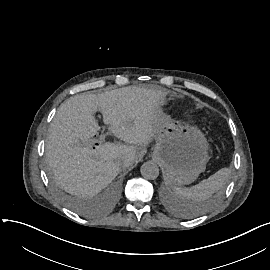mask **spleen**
Listing matches in <instances>:
<instances>
[{
	"mask_svg": "<svg viewBox=\"0 0 270 270\" xmlns=\"http://www.w3.org/2000/svg\"><path fill=\"white\" fill-rule=\"evenodd\" d=\"M230 174L229 168H222L208 179L202 180L189 189L176 187L169 182H166V185L173 190L174 197L182 204L184 209L195 214L200 203L206 201L213 193L226 186Z\"/></svg>",
	"mask_w": 270,
	"mask_h": 270,
	"instance_id": "3e777b00",
	"label": "spleen"
}]
</instances>
